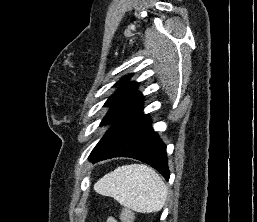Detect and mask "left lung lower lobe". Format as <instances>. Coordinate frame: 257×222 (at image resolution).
<instances>
[{"label": "left lung lower lobe", "mask_w": 257, "mask_h": 222, "mask_svg": "<svg viewBox=\"0 0 257 222\" xmlns=\"http://www.w3.org/2000/svg\"><path fill=\"white\" fill-rule=\"evenodd\" d=\"M113 157L140 160L169 180L166 145L152 129L151 119L143 113L126 124L100 151L90 156V160L98 162Z\"/></svg>", "instance_id": "1"}]
</instances>
